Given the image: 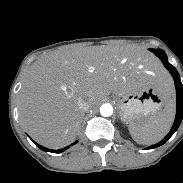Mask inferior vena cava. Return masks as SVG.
<instances>
[{
	"mask_svg": "<svg viewBox=\"0 0 183 183\" xmlns=\"http://www.w3.org/2000/svg\"><path fill=\"white\" fill-rule=\"evenodd\" d=\"M78 106H79V108H80L82 111L86 112V111L89 110L91 104H90L89 101H86V100L80 98L79 101H78Z\"/></svg>",
	"mask_w": 183,
	"mask_h": 183,
	"instance_id": "inferior-vena-cava-1",
	"label": "inferior vena cava"
}]
</instances>
